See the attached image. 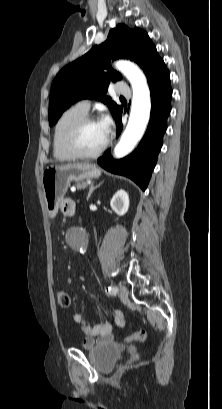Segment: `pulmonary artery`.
<instances>
[{"mask_svg":"<svg viewBox=\"0 0 222 409\" xmlns=\"http://www.w3.org/2000/svg\"><path fill=\"white\" fill-rule=\"evenodd\" d=\"M115 92L118 93V94L126 95V96H128L130 94L129 88L126 85H124L123 83L119 84L116 87ZM76 106H78L81 110H83L85 112H88L89 109H90L91 103H90V101L88 99H84V100L79 101L76 104Z\"/></svg>","mask_w":222,"mask_h":409,"instance_id":"obj_1","label":"pulmonary artery"}]
</instances>
